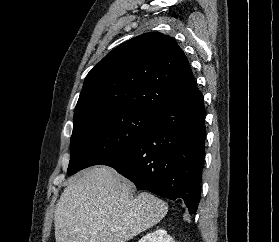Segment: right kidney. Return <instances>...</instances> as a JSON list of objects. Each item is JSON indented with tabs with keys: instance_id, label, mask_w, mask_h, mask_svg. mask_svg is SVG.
Listing matches in <instances>:
<instances>
[{
	"instance_id": "1",
	"label": "right kidney",
	"mask_w": 279,
	"mask_h": 242,
	"mask_svg": "<svg viewBox=\"0 0 279 242\" xmlns=\"http://www.w3.org/2000/svg\"><path fill=\"white\" fill-rule=\"evenodd\" d=\"M139 242H174V240L164 229H157L147 233Z\"/></svg>"
}]
</instances>
